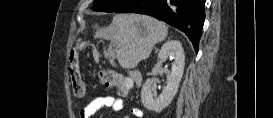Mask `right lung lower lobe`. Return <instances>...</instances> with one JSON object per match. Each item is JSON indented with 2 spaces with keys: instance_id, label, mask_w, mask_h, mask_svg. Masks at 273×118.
Instances as JSON below:
<instances>
[{
  "instance_id": "right-lung-lower-lobe-1",
  "label": "right lung lower lobe",
  "mask_w": 273,
  "mask_h": 118,
  "mask_svg": "<svg viewBox=\"0 0 273 118\" xmlns=\"http://www.w3.org/2000/svg\"><path fill=\"white\" fill-rule=\"evenodd\" d=\"M205 0H129L116 13L156 17L183 31L198 52L205 19Z\"/></svg>"
}]
</instances>
